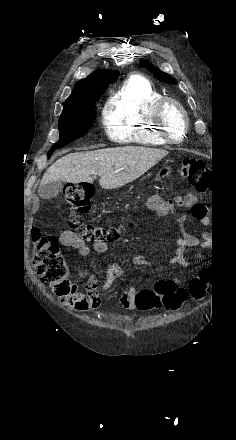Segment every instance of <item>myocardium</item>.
Masks as SVG:
<instances>
[{
	"instance_id": "f54148a6",
	"label": "myocardium",
	"mask_w": 236,
	"mask_h": 440,
	"mask_svg": "<svg viewBox=\"0 0 236 440\" xmlns=\"http://www.w3.org/2000/svg\"><path fill=\"white\" fill-rule=\"evenodd\" d=\"M169 106L175 107L182 116L183 132L180 138H175L166 125L165 112ZM151 118L158 135L166 141V143L175 144L181 143L185 140L189 127V117L184 106L178 100L171 97H161L153 106Z\"/></svg>"
}]
</instances>
